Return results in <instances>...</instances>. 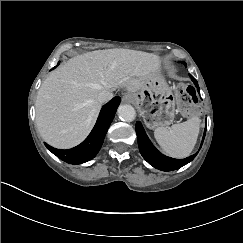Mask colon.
Listing matches in <instances>:
<instances>
[{"label":"colon","mask_w":243,"mask_h":243,"mask_svg":"<svg viewBox=\"0 0 243 243\" xmlns=\"http://www.w3.org/2000/svg\"><path fill=\"white\" fill-rule=\"evenodd\" d=\"M175 95L178 107L185 117L192 118L198 114L196 93L192 87L179 85Z\"/></svg>","instance_id":"1"}]
</instances>
